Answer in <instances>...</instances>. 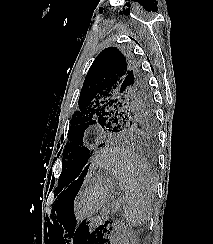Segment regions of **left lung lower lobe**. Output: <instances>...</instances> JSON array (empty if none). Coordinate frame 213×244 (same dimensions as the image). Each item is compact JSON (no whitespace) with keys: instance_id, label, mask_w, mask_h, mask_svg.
Listing matches in <instances>:
<instances>
[{"instance_id":"1","label":"left lung lower lobe","mask_w":213,"mask_h":244,"mask_svg":"<svg viewBox=\"0 0 213 244\" xmlns=\"http://www.w3.org/2000/svg\"><path fill=\"white\" fill-rule=\"evenodd\" d=\"M89 158H90L89 150L85 149L79 159L78 169H77L75 178L72 181L71 185H74V184L76 185V184L82 183L84 176L87 173L88 166H89V165H87Z\"/></svg>"}]
</instances>
